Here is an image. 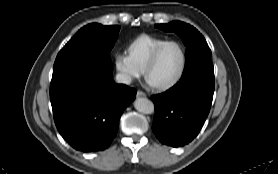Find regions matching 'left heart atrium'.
I'll use <instances>...</instances> for the list:
<instances>
[{"instance_id": "1", "label": "left heart atrium", "mask_w": 278, "mask_h": 174, "mask_svg": "<svg viewBox=\"0 0 278 174\" xmlns=\"http://www.w3.org/2000/svg\"><path fill=\"white\" fill-rule=\"evenodd\" d=\"M148 83H149V84H152L151 81H149V80H148Z\"/></svg>"}]
</instances>
